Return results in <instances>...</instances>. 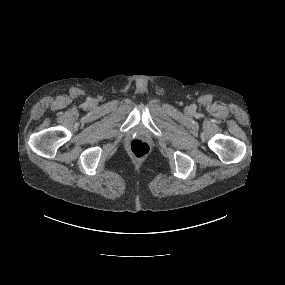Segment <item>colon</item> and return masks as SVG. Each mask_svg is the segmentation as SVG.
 <instances>
[{"label":"colon","mask_w":285,"mask_h":285,"mask_svg":"<svg viewBox=\"0 0 285 285\" xmlns=\"http://www.w3.org/2000/svg\"><path fill=\"white\" fill-rule=\"evenodd\" d=\"M131 154L136 158H143L148 155L150 151L149 145L140 139H135L129 146Z\"/></svg>","instance_id":"colon-1"}]
</instances>
